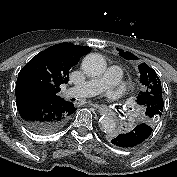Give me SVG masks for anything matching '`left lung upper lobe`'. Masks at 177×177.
<instances>
[{"label":"left lung upper lobe","mask_w":177,"mask_h":177,"mask_svg":"<svg viewBox=\"0 0 177 177\" xmlns=\"http://www.w3.org/2000/svg\"><path fill=\"white\" fill-rule=\"evenodd\" d=\"M125 53L124 51L119 52L122 57H125ZM138 68L142 91H140L136 102L143 111L142 122L154 127L159 121L164 107L161 81L154 69L147 64L142 63Z\"/></svg>","instance_id":"obj_1"}]
</instances>
